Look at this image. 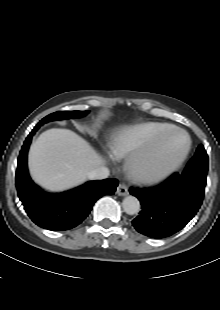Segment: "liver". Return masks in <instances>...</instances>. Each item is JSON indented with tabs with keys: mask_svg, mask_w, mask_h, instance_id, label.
<instances>
[{
	"mask_svg": "<svg viewBox=\"0 0 220 310\" xmlns=\"http://www.w3.org/2000/svg\"><path fill=\"white\" fill-rule=\"evenodd\" d=\"M103 164V158L87 141L67 129L43 132L29 152L33 179L50 191H63L85 182L88 172Z\"/></svg>",
	"mask_w": 220,
	"mask_h": 310,
	"instance_id": "liver-1",
	"label": "liver"
}]
</instances>
